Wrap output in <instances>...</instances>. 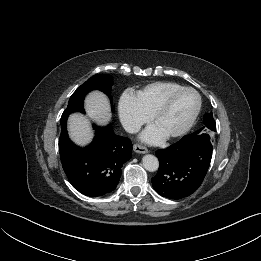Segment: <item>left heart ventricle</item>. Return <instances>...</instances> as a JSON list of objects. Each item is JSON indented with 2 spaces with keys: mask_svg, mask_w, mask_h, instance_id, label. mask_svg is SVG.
<instances>
[{
  "mask_svg": "<svg viewBox=\"0 0 261 261\" xmlns=\"http://www.w3.org/2000/svg\"><path fill=\"white\" fill-rule=\"evenodd\" d=\"M197 106V96L190 91L177 95L154 126L164 135L181 129L192 116Z\"/></svg>",
  "mask_w": 261,
  "mask_h": 261,
  "instance_id": "obj_1",
  "label": "left heart ventricle"
}]
</instances>
